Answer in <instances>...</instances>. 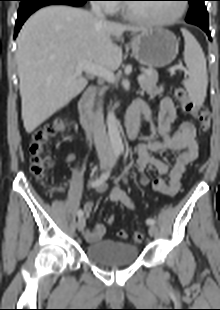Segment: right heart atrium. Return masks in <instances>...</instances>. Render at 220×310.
Segmentation results:
<instances>
[{"label": "right heart atrium", "instance_id": "obj_1", "mask_svg": "<svg viewBox=\"0 0 220 310\" xmlns=\"http://www.w3.org/2000/svg\"><path fill=\"white\" fill-rule=\"evenodd\" d=\"M102 1V9L108 13V14H113L117 12L118 6L115 3V0H100Z\"/></svg>", "mask_w": 220, "mask_h": 310}]
</instances>
